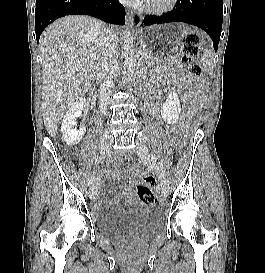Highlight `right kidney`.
I'll return each mask as SVG.
<instances>
[{
	"label": "right kidney",
	"instance_id": "ca27d5eb",
	"mask_svg": "<svg viewBox=\"0 0 265 273\" xmlns=\"http://www.w3.org/2000/svg\"><path fill=\"white\" fill-rule=\"evenodd\" d=\"M86 108V99L80 98L66 112L62 124V137L68 146L77 145L86 132V127L82 126L79 130L74 128L76 119L81 116L82 111Z\"/></svg>",
	"mask_w": 265,
	"mask_h": 273
}]
</instances>
